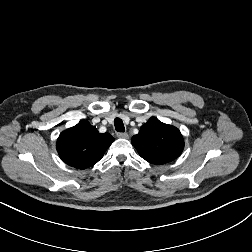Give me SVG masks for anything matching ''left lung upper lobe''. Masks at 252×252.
I'll use <instances>...</instances> for the list:
<instances>
[{"label": "left lung upper lobe", "instance_id": "obj_1", "mask_svg": "<svg viewBox=\"0 0 252 252\" xmlns=\"http://www.w3.org/2000/svg\"><path fill=\"white\" fill-rule=\"evenodd\" d=\"M139 155L152 164H164L176 159L184 148L180 131L151 117L131 139Z\"/></svg>", "mask_w": 252, "mask_h": 252}]
</instances>
